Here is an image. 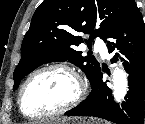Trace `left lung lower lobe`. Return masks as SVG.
Masks as SVG:
<instances>
[{"mask_svg": "<svg viewBox=\"0 0 145 124\" xmlns=\"http://www.w3.org/2000/svg\"><path fill=\"white\" fill-rule=\"evenodd\" d=\"M108 42L109 53L120 50L121 60L129 74V91L121 106L115 104L111 90L102 80L101 68L93 82L87 99L67 111V116H94L116 124H143L145 98V28L143 18L135 4L127 19ZM118 53L112 58L116 62Z\"/></svg>", "mask_w": 145, "mask_h": 124, "instance_id": "1", "label": "left lung lower lobe"}]
</instances>
